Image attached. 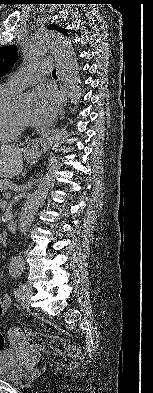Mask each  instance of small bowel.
Instances as JSON below:
<instances>
[{
  "label": "small bowel",
  "mask_w": 153,
  "mask_h": 393,
  "mask_svg": "<svg viewBox=\"0 0 153 393\" xmlns=\"http://www.w3.org/2000/svg\"><path fill=\"white\" fill-rule=\"evenodd\" d=\"M0 301L5 304V308L0 309V317L7 311V309L11 306L12 298L9 294H5L0 298ZM19 335V338H22V335L19 331L14 330Z\"/></svg>",
  "instance_id": "obj_1"
}]
</instances>
